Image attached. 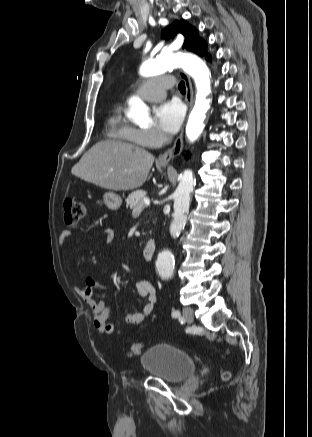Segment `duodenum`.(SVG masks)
Segmentation results:
<instances>
[{"instance_id":"duodenum-1","label":"duodenum","mask_w":312,"mask_h":437,"mask_svg":"<svg viewBox=\"0 0 312 437\" xmlns=\"http://www.w3.org/2000/svg\"><path fill=\"white\" fill-rule=\"evenodd\" d=\"M155 250V243L153 240H148L143 247V257L146 261H150Z\"/></svg>"}]
</instances>
